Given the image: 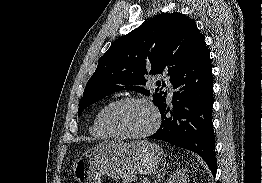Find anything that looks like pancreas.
Listing matches in <instances>:
<instances>
[{
  "mask_svg": "<svg viewBox=\"0 0 262 183\" xmlns=\"http://www.w3.org/2000/svg\"><path fill=\"white\" fill-rule=\"evenodd\" d=\"M134 180L133 176L126 177L122 183H131Z\"/></svg>",
  "mask_w": 262,
  "mask_h": 183,
  "instance_id": "cf45deb5",
  "label": "pancreas"
}]
</instances>
